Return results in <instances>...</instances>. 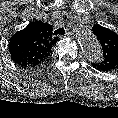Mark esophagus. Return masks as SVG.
I'll return each instance as SVG.
<instances>
[{"mask_svg":"<svg viewBox=\"0 0 118 118\" xmlns=\"http://www.w3.org/2000/svg\"><path fill=\"white\" fill-rule=\"evenodd\" d=\"M72 36V33L71 32H68L65 36H60V38H63V37H71Z\"/></svg>","mask_w":118,"mask_h":118,"instance_id":"obj_1","label":"esophagus"}]
</instances>
